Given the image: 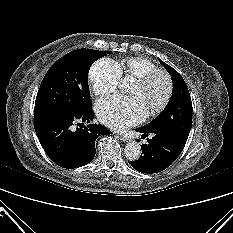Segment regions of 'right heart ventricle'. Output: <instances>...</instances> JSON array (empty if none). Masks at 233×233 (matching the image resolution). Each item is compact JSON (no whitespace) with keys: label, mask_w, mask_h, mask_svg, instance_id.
I'll return each instance as SVG.
<instances>
[{"label":"right heart ventricle","mask_w":233,"mask_h":233,"mask_svg":"<svg viewBox=\"0 0 233 233\" xmlns=\"http://www.w3.org/2000/svg\"><path fill=\"white\" fill-rule=\"evenodd\" d=\"M120 75L137 78L143 74L158 69V67L149 59L144 57H130L116 64Z\"/></svg>","instance_id":"obj_1"}]
</instances>
